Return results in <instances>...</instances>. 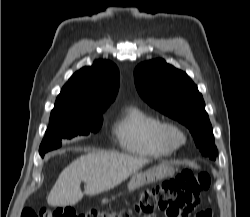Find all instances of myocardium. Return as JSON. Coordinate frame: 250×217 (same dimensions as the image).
<instances>
[{"instance_id":"myocardium-1","label":"myocardium","mask_w":250,"mask_h":217,"mask_svg":"<svg viewBox=\"0 0 250 217\" xmlns=\"http://www.w3.org/2000/svg\"><path fill=\"white\" fill-rule=\"evenodd\" d=\"M159 137L165 145L173 150L182 147L187 141L184 130L179 125L169 122L160 124Z\"/></svg>"}]
</instances>
